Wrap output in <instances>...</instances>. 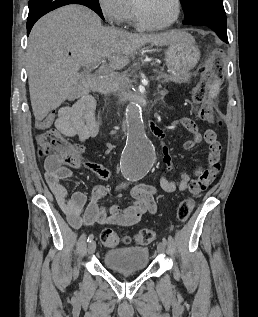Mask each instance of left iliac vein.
<instances>
[{
  "label": "left iliac vein",
  "mask_w": 258,
  "mask_h": 317,
  "mask_svg": "<svg viewBox=\"0 0 258 317\" xmlns=\"http://www.w3.org/2000/svg\"><path fill=\"white\" fill-rule=\"evenodd\" d=\"M157 252L160 254V252H165L166 254V246L164 242H159L157 246Z\"/></svg>",
  "instance_id": "left-iliac-vein-1"
}]
</instances>
